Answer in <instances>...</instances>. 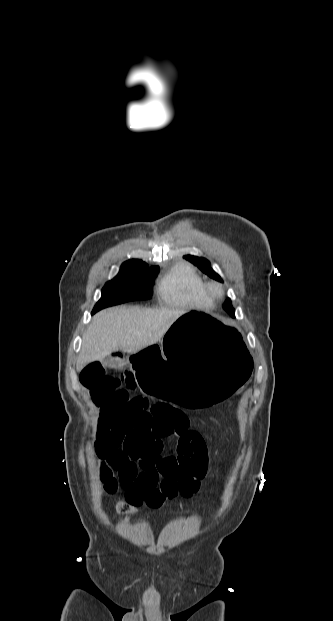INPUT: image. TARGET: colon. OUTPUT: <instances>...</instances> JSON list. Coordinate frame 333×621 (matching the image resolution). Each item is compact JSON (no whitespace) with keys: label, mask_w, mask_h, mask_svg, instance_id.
<instances>
[{"label":"colon","mask_w":333,"mask_h":621,"mask_svg":"<svg viewBox=\"0 0 333 621\" xmlns=\"http://www.w3.org/2000/svg\"><path fill=\"white\" fill-rule=\"evenodd\" d=\"M136 473L137 468L135 464L128 462L126 463V467L122 471H119L118 479L113 475L110 468L103 467L101 471V479L105 484L106 490L113 493L117 490L119 484L122 486H128L136 476ZM117 508L119 511L125 513H129L134 510L124 502L119 503Z\"/></svg>","instance_id":"obj_1"}]
</instances>
